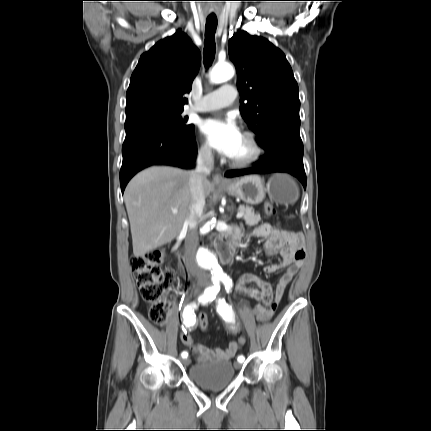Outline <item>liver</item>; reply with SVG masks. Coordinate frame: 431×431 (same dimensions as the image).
I'll use <instances>...</instances> for the list:
<instances>
[{"label": "liver", "mask_w": 431, "mask_h": 431, "mask_svg": "<svg viewBox=\"0 0 431 431\" xmlns=\"http://www.w3.org/2000/svg\"><path fill=\"white\" fill-rule=\"evenodd\" d=\"M190 172L154 166L137 174L127 185L124 201L130 221L133 254L143 256L174 240L189 212ZM204 195L214 185L203 181ZM173 209L178 212L174 214Z\"/></svg>", "instance_id": "liver-1"}]
</instances>
